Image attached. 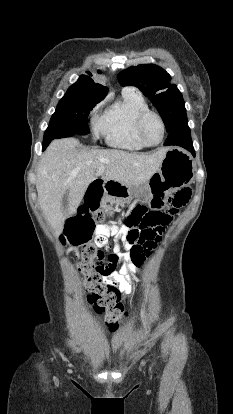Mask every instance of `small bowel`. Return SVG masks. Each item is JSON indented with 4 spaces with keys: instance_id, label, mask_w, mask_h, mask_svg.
I'll list each match as a JSON object with an SVG mask.
<instances>
[{
    "instance_id": "small-bowel-1",
    "label": "small bowel",
    "mask_w": 233,
    "mask_h": 414,
    "mask_svg": "<svg viewBox=\"0 0 233 414\" xmlns=\"http://www.w3.org/2000/svg\"><path fill=\"white\" fill-rule=\"evenodd\" d=\"M178 209L171 211L172 214H175ZM95 244L101 248L105 247L108 243L109 236H119L125 235V232L119 231H96L95 232ZM157 236V234H156ZM111 255L110 261H104V258ZM137 267L131 260L130 254L127 250L124 252H111L106 251L100 252L99 261L96 266V274L103 280V286L105 290H109L110 294H130L134 285L132 283V274L137 271ZM74 275L77 273L74 272ZM82 276L81 274L79 275ZM81 281L80 279L78 280ZM90 295L89 293L87 294ZM91 303L90 301L88 302ZM93 311L103 312L104 306L98 305L91 308ZM101 318L100 316L98 317Z\"/></svg>"
}]
</instances>
